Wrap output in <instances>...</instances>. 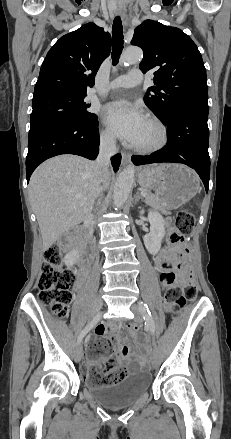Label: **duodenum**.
I'll return each mask as SVG.
<instances>
[{"mask_svg":"<svg viewBox=\"0 0 231 439\" xmlns=\"http://www.w3.org/2000/svg\"><path fill=\"white\" fill-rule=\"evenodd\" d=\"M87 230V226H82V227H80L77 231H76V235H80V234H82L83 232H85ZM85 268H88V266H85Z\"/></svg>","mask_w":231,"mask_h":439,"instance_id":"duodenum-1","label":"duodenum"}]
</instances>
